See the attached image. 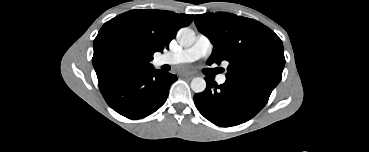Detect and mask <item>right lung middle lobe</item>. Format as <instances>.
Segmentation results:
<instances>
[{
	"instance_id": "right-lung-middle-lobe-1",
	"label": "right lung middle lobe",
	"mask_w": 369,
	"mask_h": 152,
	"mask_svg": "<svg viewBox=\"0 0 369 152\" xmlns=\"http://www.w3.org/2000/svg\"><path fill=\"white\" fill-rule=\"evenodd\" d=\"M133 60L127 55H118L112 58L107 64V71L111 74H122L131 71Z\"/></svg>"
}]
</instances>
